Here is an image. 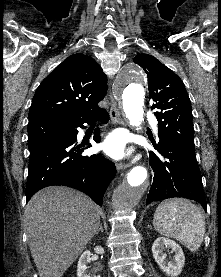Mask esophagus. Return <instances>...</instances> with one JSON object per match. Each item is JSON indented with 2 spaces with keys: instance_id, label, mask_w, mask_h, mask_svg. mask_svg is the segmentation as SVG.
Returning <instances> with one entry per match:
<instances>
[{
  "instance_id": "esophagus-1",
  "label": "esophagus",
  "mask_w": 221,
  "mask_h": 277,
  "mask_svg": "<svg viewBox=\"0 0 221 277\" xmlns=\"http://www.w3.org/2000/svg\"><path fill=\"white\" fill-rule=\"evenodd\" d=\"M110 100H111V108H110V116L113 120V123L120 124V125H126V120L121 112L120 107L117 105L116 100L113 98L112 94L110 93ZM127 167H129V164L127 163H117L116 168L117 170H124Z\"/></svg>"
}]
</instances>
